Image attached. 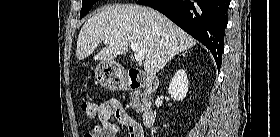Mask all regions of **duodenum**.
Masks as SVG:
<instances>
[{
    "label": "duodenum",
    "mask_w": 280,
    "mask_h": 137,
    "mask_svg": "<svg viewBox=\"0 0 280 137\" xmlns=\"http://www.w3.org/2000/svg\"><path fill=\"white\" fill-rule=\"evenodd\" d=\"M126 84L131 90L144 88L147 95L156 91L159 87V80L156 77L140 74L137 71H129L126 75ZM156 116L153 110L147 109L143 113V124L146 128H152Z\"/></svg>",
    "instance_id": "duodenum-1"
}]
</instances>
